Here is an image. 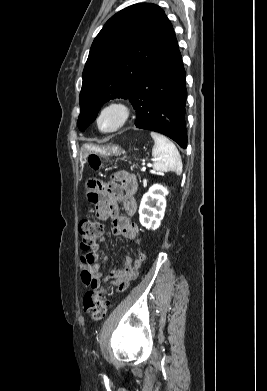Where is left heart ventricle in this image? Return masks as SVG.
I'll return each instance as SVG.
<instances>
[{
	"label": "left heart ventricle",
	"instance_id": "obj_1",
	"mask_svg": "<svg viewBox=\"0 0 267 391\" xmlns=\"http://www.w3.org/2000/svg\"><path fill=\"white\" fill-rule=\"evenodd\" d=\"M120 118L121 115L118 110L109 109L102 115L100 119V126L103 130L113 129L118 125Z\"/></svg>",
	"mask_w": 267,
	"mask_h": 391
}]
</instances>
